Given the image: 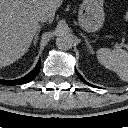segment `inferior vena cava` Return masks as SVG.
Returning <instances> with one entry per match:
<instances>
[{
    "label": "inferior vena cava",
    "instance_id": "1",
    "mask_svg": "<svg viewBox=\"0 0 128 128\" xmlns=\"http://www.w3.org/2000/svg\"><path fill=\"white\" fill-rule=\"evenodd\" d=\"M37 20L39 22H47V21H50V16L47 14V13H40L38 16H37Z\"/></svg>",
    "mask_w": 128,
    "mask_h": 128
}]
</instances>
